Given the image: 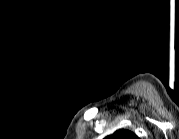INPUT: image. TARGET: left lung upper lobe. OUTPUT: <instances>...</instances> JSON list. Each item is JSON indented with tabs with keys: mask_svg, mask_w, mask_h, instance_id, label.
I'll return each instance as SVG.
<instances>
[{
	"mask_svg": "<svg viewBox=\"0 0 179 139\" xmlns=\"http://www.w3.org/2000/svg\"><path fill=\"white\" fill-rule=\"evenodd\" d=\"M109 137L110 139H137V136L128 130L116 131L112 136Z\"/></svg>",
	"mask_w": 179,
	"mask_h": 139,
	"instance_id": "left-lung-upper-lobe-1",
	"label": "left lung upper lobe"
}]
</instances>
